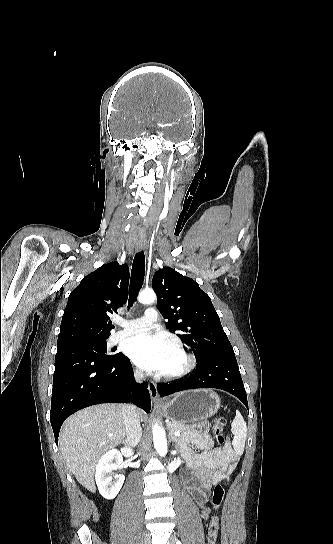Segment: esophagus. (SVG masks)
I'll list each match as a JSON object with an SVG mask.
<instances>
[{"instance_id":"1","label":"esophagus","mask_w":333,"mask_h":544,"mask_svg":"<svg viewBox=\"0 0 333 544\" xmlns=\"http://www.w3.org/2000/svg\"><path fill=\"white\" fill-rule=\"evenodd\" d=\"M137 251H145L146 249V240L145 237H141L136 245ZM148 390L150 393L151 400L154 404L161 403V399L159 397L158 389L156 383L153 381L148 382Z\"/></svg>"}]
</instances>
